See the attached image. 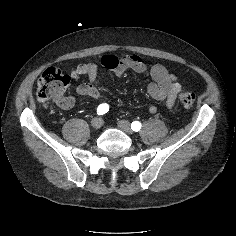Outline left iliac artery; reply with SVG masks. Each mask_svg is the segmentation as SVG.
Returning <instances> with one entry per match:
<instances>
[{"label":"left iliac artery","instance_id":"44dca946","mask_svg":"<svg viewBox=\"0 0 236 236\" xmlns=\"http://www.w3.org/2000/svg\"><path fill=\"white\" fill-rule=\"evenodd\" d=\"M131 129H132L133 131L138 132V131L141 129V123L138 122V121H134V122L131 124Z\"/></svg>","mask_w":236,"mask_h":236}]
</instances>
